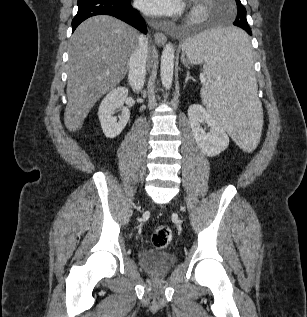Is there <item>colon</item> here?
Segmentation results:
<instances>
[{
  "label": "colon",
  "instance_id": "5ec220e1",
  "mask_svg": "<svg viewBox=\"0 0 307 317\" xmlns=\"http://www.w3.org/2000/svg\"><path fill=\"white\" fill-rule=\"evenodd\" d=\"M152 245L156 249H165L172 241V231L167 226L157 227L151 237Z\"/></svg>",
  "mask_w": 307,
  "mask_h": 317
}]
</instances>
